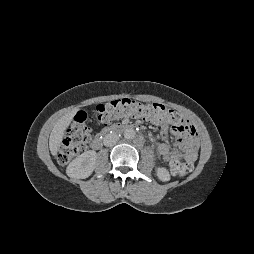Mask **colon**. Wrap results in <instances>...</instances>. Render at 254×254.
I'll return each instance as SVG.
<instances>
[{
  "instance_id": "obj_1",
  "label": "colon",
  "mask_w": 254,
  "mask_h": 254,
  "mask_svg": "<svg viewBox=\"0 0 254 254\" xmlns=\"http://www.w3.org/2000/svg\"><path fill=\"white\" fill-rule=\"evenodd\" d=\"M97 118L100 124L107 125L124 116L142 118L153 122H175L177 113L160 103H141L132 99L124 98L113 100L97 107ZM91 137V128L87 123V117L79 113L66 130L61 143L58 162L62 165L69 163L75 156L80 154L86 147ZM193 168V164L183 160H173L170 163L171 173L175 176L184 177Z\"/></svg>"
}]
</instances>
